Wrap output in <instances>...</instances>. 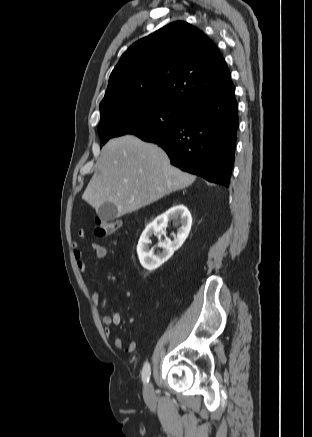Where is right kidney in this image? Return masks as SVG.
Instances as JSON below:
<instances>
[{
    "label": "right kidney",
    "instance_id": "ca27d5eb",
    "mask_svg": "<svg viewBox=\"0 0 312 437\" xmlns=\"http://www.w3.org/2000/svg\"><path fill=\"white\" fill-rule=\"evenodd\" d=\"M168 221H173L174 226L180 225L177 233V238L171 242L168 238L159 241L158 246L165 250L162 254L154 255L153 250H149L150 237L152 234L159 238L165 234V228ZM192 225V217L184 205H177L170 208L164 214L158 216L151 224H149L143 231L138 245L137 254L141 265L149 270H155L166 262L173 253L179 249L189 235Z\"/></svg>",
    "mask_w": 312,
    "mask_h": 437
}]
</instances>
